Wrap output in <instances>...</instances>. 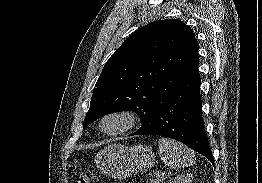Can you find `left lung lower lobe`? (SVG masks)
Here are the masks:
<instances>
[{
  "label": "left lung lower lobe",
  "instance_id": "0a47b994",
  "mask_svg": "<svg viewBox=\"0 0 262 183\" xmlns=\"http://www.w3.org/2000/svg\"><path fill=\"white\" fill-rule=\"evenodd\" d=\"M198 63L199 60L160 104L149 125L134 135H159L176 139L207 157L214 165L204 130Z\"/></svg>",
  "mask_w": 262,
  "mask_h": 183
}]
</instances>
